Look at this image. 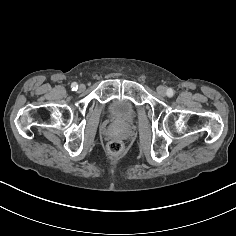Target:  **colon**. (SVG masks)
Listing matches in <instances>:
<instances>
[{
	"mask_svg": "<svg viewBox=\"0 0 236 236\" xmlns=\"http://www.w3.org/2000/svg\"><path fill=\"white\" fill-rule=\"evenodd\" d=\"M108 149L111 153L118 154L122 151L123 144L120 140L114 139V140L109 142Z\"/></svg>",
	"mask_w": 236,
	"mask_h": 236,
	"instance_id": "1",
	"label": "colon"
}]
</instances>
